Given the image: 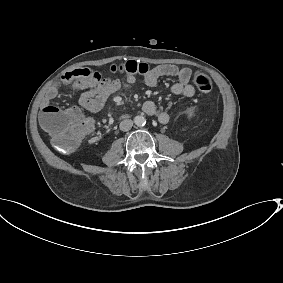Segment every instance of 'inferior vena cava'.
I'll return each mask as SVG.
<instances>
[{
	"label": "inferior vena cava",
	"instance_id": "obj_1",
	"mask_svg": "<svg viewBox=\"0 0 283 283\" xmlns=\"http://www.w3.org/2000/svg\"><path fill=\"white\" fill-rule=\"evenodd\" d=\"M133 126V121L130 119H125L120 123V130L128 131Z\"/></svg>",
	"mask_w": 283,
	"mask_h": 283
}]
</instances>
